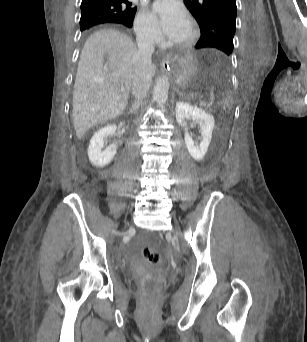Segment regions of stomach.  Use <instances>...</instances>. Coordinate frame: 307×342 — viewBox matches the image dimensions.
Instances as JSON below:
<instances>
[{
  "label": "stomach",
  "instance_id": "0dacf381",
  "mask_svg": "<svg viewBox=\"0 0 307 342\" xmlns=\"http://www.w3.org/2000/svg\"><path fill=\"white\" fill-rule=\"evenodd\" d=\"M196 63V59L191 55L177 57L170 61L169 68L175 72L176 83L180 89L189 90L192 87Z\"/></svg>",
  "mask_w": 307,
  "mask_h": 342
}]
</instances>
